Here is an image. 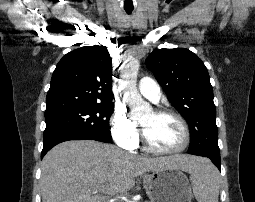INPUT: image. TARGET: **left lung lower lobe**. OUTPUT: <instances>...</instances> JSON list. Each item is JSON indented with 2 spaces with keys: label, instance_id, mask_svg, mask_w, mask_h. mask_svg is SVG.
Returning <instances> with one entry per match:
<instances>
[{
  "label": "left lung lower lobe",
  "instance_id": "1",
  "mask_svg": "<svg viewBox=\"0 0 255 202\" xmlns=\"http://www.w3.org/2000/svg\"><path fill=\"white\" fill-rule=\"evenodd\" d=\"M191 154V153H190ZM194 155V154H193ZM204 157H207L209 159H211V161L213 162V164L220 169L221 167V163H220V155H206Z\"/></svg>",
  "mask_w": 255,
  "mask_h": 202
}]
</instances>
